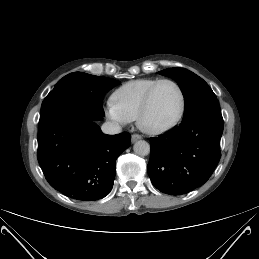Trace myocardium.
Listing matches in <instances>:
<instances>
[{
	"mask_svg": "<svg viewBox=\"0 0 259 259\" xmlns=\"http://www.w3.org/2000/svg\"><path fill=\"white\" fill-rule=\"evenodd\" d=\"M162 83H170L176 87V89L179 93V97H180L179 110H178V113L175 116V118L172 121H170L169 123H167L166 125H163L160 127H150V126L146 125L145 118L150 109L154 92L157 89V87ZM185 107H186L185 94H184V91H183L182 87L180 86V84L177 81L170 79V78L159 79L157 82H155L149 88V90L147 91V93L144 97L143 103L141 105V108L139 110V113H138V116L136 119L137 125L143 132H145L147 134H150V135L164 134L178 125V123L181 121V119L184 115Z\"/></svg>",
	"mask_w": 259,
	"mask_h": 259,
	"instance_id": "1",
	"label": "myocardium"
}]
</instances>
